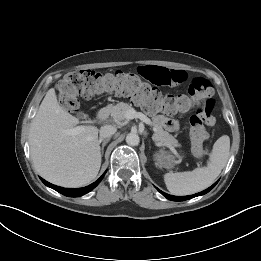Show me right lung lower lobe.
I'll return each mask as SVG.
<instances>
[{
	"instance_id": "1",
	"label": "right lung lower lobe",
	"mask_w": 261,
	"mask_h": 261,
	"mask_svg": "<svg viewBox=\"0 0 261 261\" xmlns=\"http://www.w3.org/2000/svg\"><path fill=\"white\" fill-rule=\"evenodd\" d=\"M104 175H105V173L98 180H96L94 183L90 184L89 186H86V187H83V188H77V189L62 188V187H59V186H55V185L45 181L42 178H40V179L42 180V182L46 186L56 190L57 192L65 195V196H68V197H78V196H82V195L90 192L91 190H93L99 184V182L102 180Z\"/></svg>"
}]
</instances>
